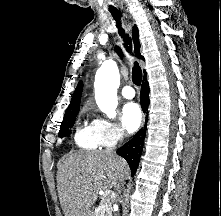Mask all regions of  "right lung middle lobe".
<instances>
[{
  "instance_id": "1",
  "label": "right lung middle lobe",
  "mask_w": 221,
  "mask_h": 216,
  "mask_svg": "<svg viewBox=\"0 0 221 216\" xmlns=\"http://www.w3.org/2000/svg\"><path fill=\"white\" fill-rule=\"evenodd\" d=\"M78 112L69 114L64 116L60 131H59V137H64L68 133L69 128H71L75 122V118L77 116Z\"/></svg>"
}]
</instances>
